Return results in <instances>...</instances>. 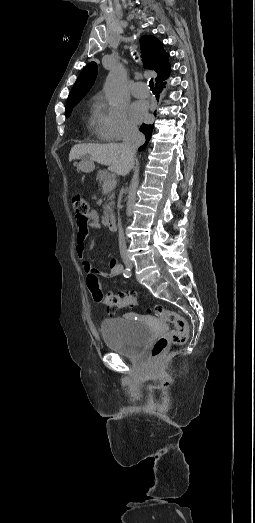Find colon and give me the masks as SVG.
<instances>
[{
  "instance_id": "colon-1",
  "label": "colon",
  "mask_w": 255,
  "mask_h": 523,
  "mask_svg": "<svg viewBox=\"0 0 255 523\" xmlns=\"http://www.w3.org/2000/svg\"><path fill=\"white\" fill-rule=\"evenodd\" d=\"M72 206L76 213L77 221L81 224L86 222V216L89 213V204L81 196H74L72 198ZM87 286L90 290L92 298L96 302L104 303L108 310L115 312L116 310L132 307L137 304V298L133 294L126 293H111L104 294L95 274L87 276ZM154 314L165 324L172 328L163 333L154 342L151 355L154 358L160 356L171 344L180 345L186 342L189 335V327L186 320L177 312L165 309L159 305L153 307Z\"/></svg>"
}]
</instances>
